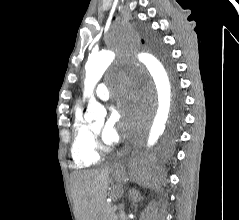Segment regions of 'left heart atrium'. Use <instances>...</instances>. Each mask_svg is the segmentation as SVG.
<instances>
[{
  "mask_svg": "<svg viewBox=\"0 0 239 220\" xmlns=\"http://www.w3.org/2000/svg\"><path fill=\"white\" fill-rule=\"evenodd\" d=\"M131 104L126 96H119L112 107L108 120L102 130V137L106 143L113 144L120 139V130L130 134L136 126L135 117L127 119L125 114L130 112Z\"/></svg>",
  "mask_w": 239,
  "mask_h": 220,
  "instance_id": "obj_1",
  "label": "left heart atrium"
}]
</instances>
